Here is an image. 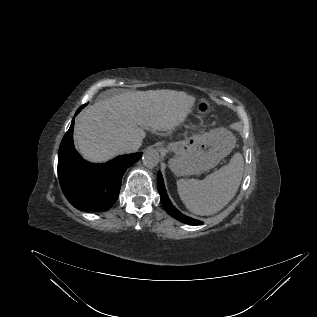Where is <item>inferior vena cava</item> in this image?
<instances>
[{
	"label": "inferior vena cava",
	"instance_id": "inferior-vena-cava-1",
	"mask_svg": "<svg viewBox=\"0 0 317 317\" xmlns=\"http://www.w3.org/2000/svg\"><path fill=\"white\" fill-rule=\"evenodd\" d=\"M138 148H139V145L135 142H124L119 145L118 150L121 153H132L137 151Z\"/></svg>",
	"mask_w": 317,
	"mask_h": 317
}]
</instances>
